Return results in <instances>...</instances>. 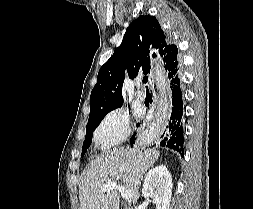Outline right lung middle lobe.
<instances>
[{
  "mask_svg": "<svg viewBox=\"0 0 253 209\" xmlns=\"http://www.w3.org/2000/svg\"><path fill=\"white\" fill-rule=\"evenodd\" d=\"M110 111H107L105 113L90 117L88 119V123L86 126V136L85 140L83 142V147H82V154L81 157L84 156L85 152L87 151V148L90 146L92 142V132L95 130V128L100 124L104 116Z\"/></svg>",
  "mask_w": 253,
  "mask_h": 209,
  "instance_id": "dd1d6c3e",
  "label": "right lung middle lobe"
}]
</instances>
